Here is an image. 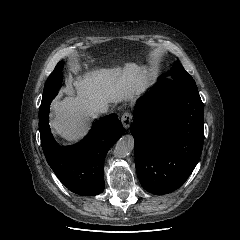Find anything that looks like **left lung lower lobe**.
<instances>
[{
    "mask_svg": "<svg viewBox=\"0 0 240 240\" xmlns=\"http://www.w3.org/2000/svg\"><path fill=\"white\" fill-rule=\"evenodd\" d=\"M131 124L135 166L145 190L178 189L197 165L204 141V109L195 83L160 79L136 103Z\"/></svg>",
    "mask_w": 240,
    "mask_h": 240,
    "instance_id": "1",
    "label": "left lung lower lobe"
}]
</instances>
